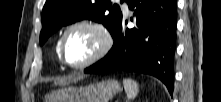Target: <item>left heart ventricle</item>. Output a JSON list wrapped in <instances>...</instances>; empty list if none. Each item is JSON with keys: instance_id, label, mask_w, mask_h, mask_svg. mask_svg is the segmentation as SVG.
Listing matches in <instances>:
<instances>
[{"instance_id": "1", "label": "left heart ventricle", "mask_w": 221, "mask_h": 102, "mask_svg": "<svg viewBox=\"0 0 221 102\" xmlns=\"http://www.w3.org/2000/svg\"><path fill=\"white\" fill-rule=\"evenodd\" d=\"M96 34L86 28H78L69 33L64 45L66 60L71 64H79L87 60L97 49Z\"/></svg>"}]
</instances>
